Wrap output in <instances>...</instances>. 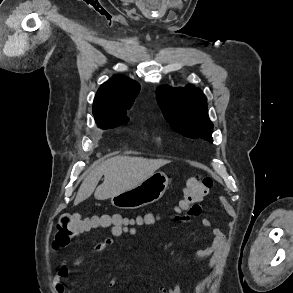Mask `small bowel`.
I'll return each mask as SVG.
<instances>
[{
	"label": "small bowel",
	"instance_id": "1",
	"mask_svg": "<svg viewBox=\"0 0 293 293\" xmlns=\"http://www.w3.org/2000/svg\"><path fill=\"white\" fill-rule=\"evenodd\" d=\"M200 210H201L200 204H198L196 207H194L192 210L186 213H181V211L177 209L176 210L177 212L174 218L176 220L184 221L189 219L191 216L199 214ZM157 219L158 218L156 216L149 213L142 217H138L135 223L137 226L152 225L157 221ZM202 224L203 226L211 229L213 241L207 247L193 249L192 254L195 258H198V259H204L211 255L221 253L224 247V242H225V235L223 231L220 228L214 226L211 220L203 219ZM88 231L89 230L85 232H88ZM136 233H137L136 227L125 228L123 230L112 229L111 230L112 236H106L101 241L97 242L93 246V251L95 253L106 252L110 250V248L114 244L113 237H119L123 235H135ZM83 261L84 259L82 257H79L73 261L72 265L79 266L83 263ZM69 271H70V268L65 264L60 265L59 268L57 269L53 277V283L57 293H70L68 289L65 287V285L63 284V280L67 278ZM207 283H208V278L204 279L203 281L195 285L192 289V292H198L199 290L204 288ZM114 284H115V279H112L110 281V285L113 286ZM160 293H185V291L180 285H174L170 287L169 289H163L162 291H160Z\"/></svg>",
	"mask_w": 293,
	"mask_h": 293
}]
</instances>
